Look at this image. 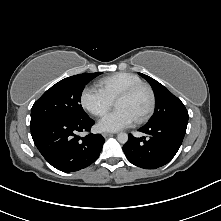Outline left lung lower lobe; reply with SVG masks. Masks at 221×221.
<instances>
[{"instance_id":"0a47b994","label":"left lung lower lobe","mask_w":221,"mask_h":221,"mask_svg":"<svg viewBox=\"0 0 221 221\" xmlns=\"http://www.w3.org/2000/svg\"><path fill=\"white\" fill-rule=\"evenodd\" d=\"M188 120L173 119L139 129L147 137L136 138L129 134L123 146L127 159L144 169H156L167 164L180 148Z\"/></svg>"}]
</instances>
